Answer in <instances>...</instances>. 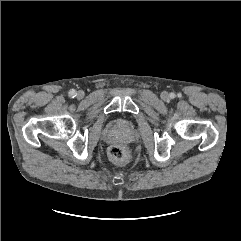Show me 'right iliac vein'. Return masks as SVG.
<instances>
[{
	"label": "right iliac vein",
	"mask_w": 241,
	"mask_h": 241,
	"mask_svg": "<svg viewBox=\"0 0 241 241\" xmlns=\"http://www.w3.org/2000/svg\"><path fill=\"white\" fill-rule=\"evenodd\" d=\"M77 97H78V98H83V97H84V92H83V91H79V92L77 93Z\"/></svg>",
	"instance_id": "1"
}]
</instances>
